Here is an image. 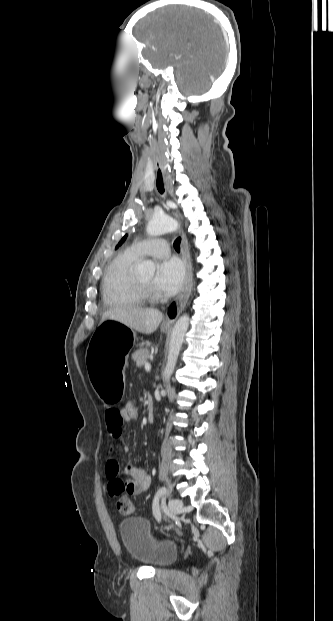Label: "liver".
Masks as SVG:
<instances>
[{
    "label": "liver",
    "mask_w": 333,
    "mask_h": 621,
    "mask_svg": "<svg viewBox=\"0 0 333 621\" xmlns=\"http://www.w3.org/2000/svg\"><path fill=\"white\" fill-rule=\"evenodd\" d=\"M163 319V314L159 310L138 307H123L107 310L101 323L106 320L120 322L127 327L143 334L153 333Z\"/></svg>",
    "instance_id": "1"
}]
</instances>
